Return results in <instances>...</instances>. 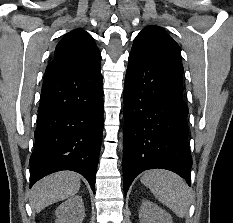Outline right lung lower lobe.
Returning <instances> with one entry per match:
<instances>
[{
  "mask_svg": "<svg viewBox=\"0 0 233 223\" xmlns=\"http://www.w3.org/2000/svg\"><path fill=\"white\" fill-rule=\"evenodd\" d=\"M103 131L100 64L87 70L44 78L35 147L30 157V187L61 170L82 174L95 191Z\"/></svg>",
  "mask_w": 233,
  "mask_h": 223,
  "instance_id": "right-lung-lower-lobe-1",
  "label": "right lung lower lobe"
}]
</instances>
